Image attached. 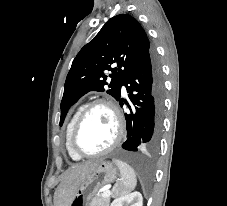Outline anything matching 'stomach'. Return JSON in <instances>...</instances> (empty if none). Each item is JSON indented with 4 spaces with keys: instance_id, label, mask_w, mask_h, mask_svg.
I'll use <instances>...</instances> for the list:
<instances>
[{
    "instance_id": "obj_1",
    "label": "stomach",
    "mask_w": 227,
    "mask_h": 206,
    "mask_svg": "<svg viewBox=\"0 0 227 206\" xmlns=\"http://www.w3.org/2000/svg\"><path fill=\"white\" fill-rule=\"evenodd\" d=\"M118 170L109 161H101L75 191L69 206H89L90 200L103 186L112 183Z\"/></svg>"
}]
</instances>
